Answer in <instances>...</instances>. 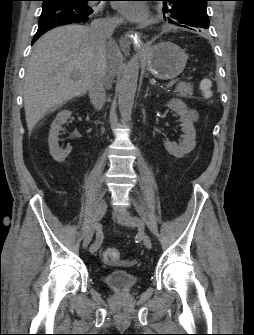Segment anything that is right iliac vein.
Here are the masks:
<instances>
[{"label":"right iliac vein","instance_id":"63e3f726","mask_svg":"<svg viewBox=\"0 0 254 335\" xmlns=\"http://www.w3.org/2000/svg\"><path fill=\"white\" fill-rule=\"evenodd\" d=\"M107 211V204L104 200H100L97 204L95 215H94V225H96L105 215ZM94 230H91L82 242V249H86L92 241Z\"/></svg>","mask_w":254,"mask_h":335}]
</instances>
